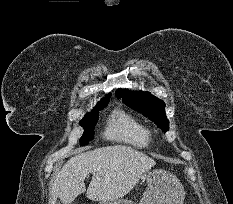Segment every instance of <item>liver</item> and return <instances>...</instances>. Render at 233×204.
<instances>
[{"mask_svg": "<svg viewBox=\"0 0 233 204\" xmlns=\"http://www.w3.org/2000/svg\"><path fill=\"white\" fill-rule=\"evenodd\" d=\"M155 161L131 147L113 145L79 153L62 167L50 188L49 204H70L86 192L92 201H114L128 194ZM93 174L89 187L85 178Z\"/></svg>", "mask_w": 233, "mask_h": 204, "instance_id": "6515ba94", "label": "liver"}]
</instances>
